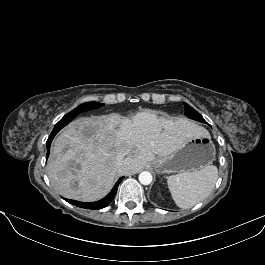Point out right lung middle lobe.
Listing matches in <instances>:
<instances>
[{
  "mask_svg": "<svg viewBox=\"0 0 265 265\" xmlns=\"http://www.w3.org/2000/svg\"><path fill=\"white\" fill-rule=\"evenodd\" d=\"M104 104L98 103V102H86L78 107H76L74 110L66 114L56 125L55 127L58 126H65L67 125L73 118H75L77 115H79L81 112L92 110V109H97L103 106Z\"/></svg>",
  "mask_w": 265,
  "mask_h": 265,
  "instance_id": "obj_1",
  "label": "right lung middle lobe"
}]
</instances>
